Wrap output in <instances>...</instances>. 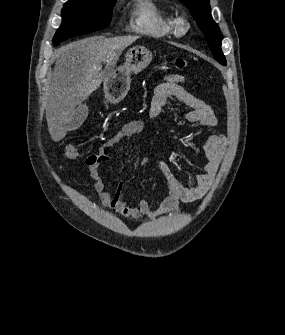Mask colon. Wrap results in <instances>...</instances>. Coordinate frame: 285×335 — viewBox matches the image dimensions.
I'll return each instance as SVG.
<instances>
[{
  "instance_id": "1",
  "label": "colon",
  "mask_w": 285,
  "mask_h": 335,
  "mask_svg": "<svg viewBox=\"0 0 285 335\" xmlns=\"http://www.w3.org/2000/svg\"><path fill=\"white\" fill-rule=\"evenodd\" d=\"M172 65L179 70L186 69L188 62L184 58L175 57L171 60ZM65 154L68 158L74 159L78 156V148L76 145H68L65 150Z\"/></svg>"
}]
</instances>
